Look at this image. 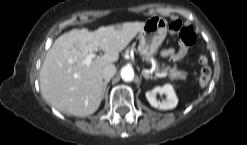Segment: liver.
<instances>
[{
  "label": "liver",
  "instance_id": "6515ba94",
  "mask_svg": "<svg viewBox=\"0 0 247 145\" xmlns=\"http://www.w3.org/2000/svg\"><path fill=\"white\" fill-rule=\"evenodd\" d=\"M145 22H126L120 26L100 27L93 32L73 29L53 43L42 64L39 81L44 99L57 110L78 117L94 113L103 93L102 69L119 59L122 51L142 30ZM102 50L104 54L92 60L85 57Z\"/></svg>",
  "mask_w": 247,
  "mask_h": 145
}]
</instances>
